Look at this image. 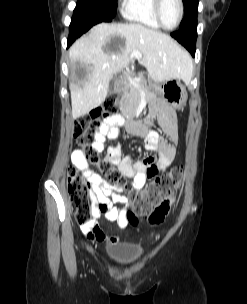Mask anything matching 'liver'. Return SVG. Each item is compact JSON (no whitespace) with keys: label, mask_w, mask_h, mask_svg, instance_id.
I'll return each mask as SVG.
<instances>
[{"label":"liver","mask_w":247,"mask_h":304,"mask_svg":"<svg viewBox=\"0 0 247 304\" xmlns=\"http://www.w3.org/2000/svg\"><path fill=\"white\" fill-rule=\"evenodd\" d=\"M134 51L142 54L140 62L154 82L191 79L192 61L169 35L138 23L98 24L69 49L71 62L87 68L82 87L70 84L74 119L104 102L110 80L129 64Z\"/></svg>","instance_id":"1"}]
</instances>
